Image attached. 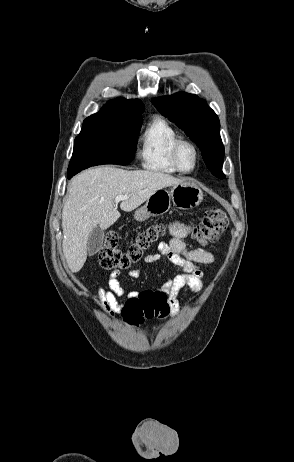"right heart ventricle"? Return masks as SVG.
Returning <instances> with one entry per match:
<instances>
[{"label": "right heart ventricle", "mask_w": 294, "mask_h": 462, "mask_svg": "<svg viewBox=\"0 0 294 462\" xmlns=\"http://www.w3.org/2000/svg\"><path fill=\"white\" fill-rule=\"evenodd\" d=\"M179 134L163 117L153 118L140 138L139 158L144 169L161 174H175L171 149Z\"/></svg>", "instance_id": "e07e8e85"}]
</instances>
